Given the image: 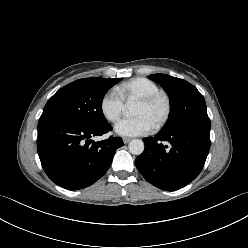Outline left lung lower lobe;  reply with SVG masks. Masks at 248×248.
<instances>
[{
	"mask_svg": "<svg viewBox=\"0 0 248 248\" xmlns=\"http://www.w3.org/2000/svg\"><path fill=\"white\" fill-rule=\"evenodd\" d=\"M143 141L145 150L135 161L139 172L162 190H178L193 181L205 164L210 149V119L194 120Z\"/></svg>",
	"mask_w": 248,
	"mask_h": 248,
	"instance_id": "1",
	"label": "left lung lower lobe"
}]
</instances>
